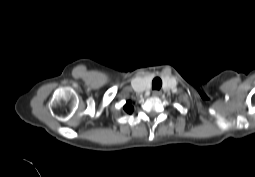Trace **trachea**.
I'll use <instances>...</instances> for the list:
<instances>
[{
  "mask_svg": "<svg viewBox=\"0 0 255 177\" xmlns=\"http://www.w3.org/2000/svg\"><path fill=\"white\" fill-rule=\"evenodd\" d=\"M162 86V80L159 77H156L152 81V89L153 90H160Z\"/></svg>",
  "mask_w": 255,
  "mask_h": 177,
  "instance_id": "trachea-1",
  "label": "trachea"
}]
</instances>
